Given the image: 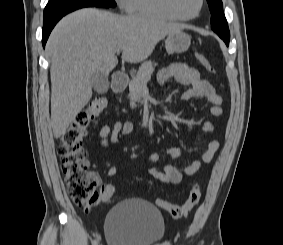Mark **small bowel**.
I'll use <instances>...</instances> for the list:
<instances>
[{"instance_id":"small-bowel-1","label":"small bowel","mask_w":283,"mask_h":245,"mask_svg":"<svg viewBox=\"0 0 283 245\" xmlns=\"http://www.w3.org/2000/svg\"><path fill=\"white\" fill-rule=\"evenodd\" d=\"M158 82L163 85L166 82L174 79L180 84L189 86L182 94L183 100H190L193 98H204L210 104V114L218 117L222 114V98L216 92L213 85L206 79L202 78L199 71L183 63H174L162 69L158 73ZM134 130V124L131 121H116L112 126L104 125L99 132V145L103 148L107 147L110 143H116L124 136L130 134ZM204 133L211 135L215 131V125L211 121H205L202 124ZM219 149V142L211 138L207 144L206 150L201 157L193 161L186 167H176L173 164L167 163L163 169H159L158 164L164 156L170 159H175L179 156L180 150L175 147H168L162 153H152L148 157L150 166L148 173L155 179L166 184H179L183 175H194L197 173L202 165L209 164L217 150ZM118 173V168L115 166L107 170V175L113 177ZM93 178L101 184V179L98 175Z\"/></svg>"}]
</instances>
